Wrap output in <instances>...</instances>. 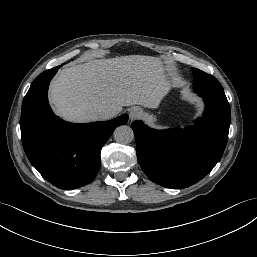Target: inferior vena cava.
I'll return each instance as SVG.
<instances>
[{"label":"inferior vena cava","instance_id":"obj_1","mask_svg":"<svg viewBox=\"0 0 257 257\" xmlns=\"http://www.w3.org/2000/svg\"><path fill=\"white\" fill-rule=\"evenodd\" d=\"M118 114V111L116 110H110V109H100L96 111L95 113V119L96 120H109L113 117H115Z\"/></svg>","mask_w":257,"mask_h":257}]
</instances>
